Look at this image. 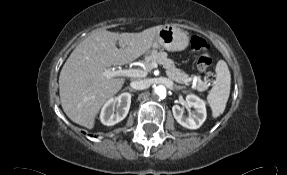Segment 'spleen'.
Returning a JSON list of instances; mask_svg holds the SVG:
<instances>
[{"instance_id": "1", "label": "spleen", "mask_w": 287, "mask_h": 175, "mask_svg": "<svg viewBox=\"0 0 287 175\" xmlns=\"http://www.w3.org/2000/svg\"><path fill=\"white\" fill-rule=\"evenodd\" d=\"M216 80L210 90L207 101L212 109V116L217 118L225 110L230 95L231 74L224 60L216 65Z\"/></svg>"}]
</instances>
